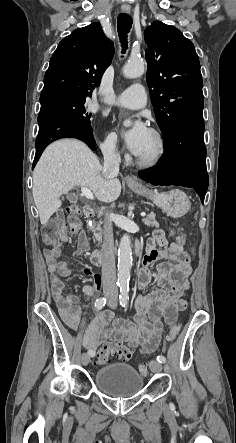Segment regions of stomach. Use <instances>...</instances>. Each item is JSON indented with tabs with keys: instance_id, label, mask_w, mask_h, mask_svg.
Wrapping results in <instances>:
<instances>
[{
	"instance_id": "obj_1",
	"label": "stomach",
	"mask_w": 236,
	"mask_h": 443,
	"mask_svg": "<svg viewBox=\"0 0 236 443\" xmlns=\"http://www.w3.org/2000/svg\"><path fill=\"white\" fill-rule=\"evenodd\" d=\"M131 189L140 195L149 197L156 206L172 218L182 217L190 209L189 199L181 190L174 189L166 193H158L146 188L131 187Z\"/></svg>"
}]
</instances>
